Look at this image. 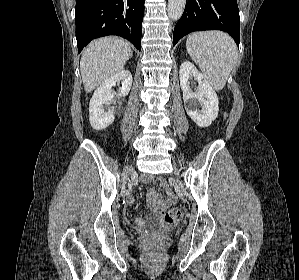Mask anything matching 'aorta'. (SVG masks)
Returning a JSON list of instances; mask_svg holds the SVG:
<instances>
[{"label":"aorta","instance_id":"obj_1","mask_svg":"<svg viewBox=\"0 0 299 280\" xmlns=\"http://www.w3.org/2000/svg\"><path fill=\"white\" fill-rule=\"evenodd\" d=\"M186 0H168V16L177 21L183 14Z\"/></svg>","mask_w":299,"mask_h":280}]
</instances>
